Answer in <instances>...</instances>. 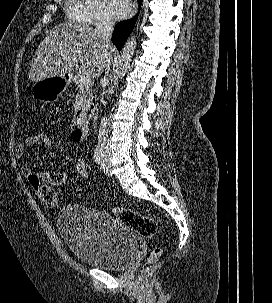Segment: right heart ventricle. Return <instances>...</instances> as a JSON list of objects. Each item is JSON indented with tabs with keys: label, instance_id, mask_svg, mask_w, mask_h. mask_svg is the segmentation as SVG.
I'll list each match as a JSON object with an SVG mask.
<instances>
[{
	"label": "right heart ventricle",
	"instance_id": "1",
	"mask_svg": "<svg viewBox=\"0 0 272 303\" xmlns=\"http://www.w3.org/2000/svg\"><path fill=\"white\" fill-rule=\"evenodd\" d=\"M65 12L71 22L81 25L89 24V12L85 0H66Z\"/></svg>",
	"mask_w": 272,
	"mask_h": 303
}]
</instances>
